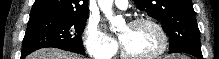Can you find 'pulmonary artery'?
Instances as JSON below:
<instances>
[{
    "label": "pulmonary artery",
    "instance_id": "1",
    "mask_svg": "<svg viewBox=\"0 0 219 59\" xmlns=\"http://www.w3.org/2000/svg\"><path fill=\"white\" fill-rule=\"evenodd\" d=\"M114 3L120 9H126L128 7V1L126 0H116Z\"/></svg>",
    "mask_w": 219,
    "mask_h": 59
}]
</instances>
